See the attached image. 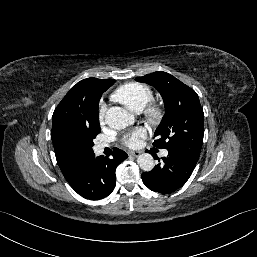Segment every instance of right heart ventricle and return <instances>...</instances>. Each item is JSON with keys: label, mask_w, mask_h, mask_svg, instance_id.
Masks as SVG:
<instances>
[{"label": "right heart ventricle", "mask_w": 257, "mask_h": 257, "mask_svg": "<svg viewBox=\"0 0 257 257\" xmlns=\"http://www.w3.org/2000/svg\"><path fill=\"white\" fill-rule=\"evenodd\" d=\"M112 99L123 104L129 110L134 112L142 111L153 97L152 89L139 82H131L117 88Z\"/></svg>", "instance_id": "obj_1"}]
</instances>
